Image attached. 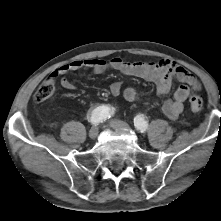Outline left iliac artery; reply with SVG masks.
Instances as JSON below:
<instances>
[{
    "mask_svg": "<svg viewBox=\"0 0 221 221\" xmlns=\"http://www.w3.org/2000/svg\"><path fill=\"white\" fill-rule=\"evenodd\" d=\"M134 126L138 131L143 133L146 132L148 128V123L142 115H138L134 118Z\"/></svg>",
    "mask_w": 221,
    "mask_h": 221,
    "instance_id": "44dca946",
    "label": "left iliac artery"
}]
</instances>
